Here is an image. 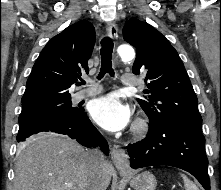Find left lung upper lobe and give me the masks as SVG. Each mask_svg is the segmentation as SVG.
Here are the masks:
<instances>
[{
  "label": "left lung upper lobe",
  "instance_id": "left-lung-upper-lobe-1",
  "mask_svg": "<svg viewBox=\"0 0 221 190\" xmlns=\"http://www.w3.org/2000/svg\"><path fill=\"white\" fill-rule=\"evenodd\" d=\"M123 37L137 51L132 72L148 80L150 95L137 101L150 122L170 120L202 134L198 100L175 48L154 27L135 18L128 21Z\"/></svg>",
  "mask_w": 221,
  "mask_h": 190
}]
</instances>
